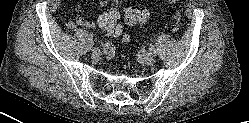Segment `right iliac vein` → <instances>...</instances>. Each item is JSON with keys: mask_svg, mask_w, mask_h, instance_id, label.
<instances>
[{"mask_svg": "<svg viewBox=\"0 0 249 123\" xmlns=\"http://www.w3.org/2000/svg\"><path fill=\"white\" fill-rule=\"evenodd\" d=\"M92 55H93L94 57H99V56L101 55L100 49H99V48H94V49H92Z\"/></svg>", "mask_w": 249, "mask_h": 123, "instance_id": "obj_1", "label": "right iliac vein"}]
</instances>
